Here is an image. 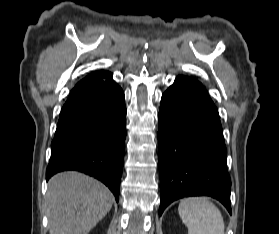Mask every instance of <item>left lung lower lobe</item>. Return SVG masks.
Instances as JSON below:
<instances>
[{
    "label": "left lung lower lobe",
    "instance_id": "left-lung-lower-lobe-1",
    "mask_svg": "<svg viewBox=\"0 0 279 234\" xmlns=\"http://www.w3.org/2000/svg\"><path fill=\"white\" fill-rule=\"evenodd\" d=\"M159 215L173 201L208 195L231 214L227 150L216 106L197 80L178 76L158 114Z\"/></svg>",
    "mask_w": 279,
    "mask_h": 234
}]
</instances>
